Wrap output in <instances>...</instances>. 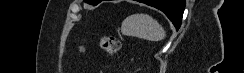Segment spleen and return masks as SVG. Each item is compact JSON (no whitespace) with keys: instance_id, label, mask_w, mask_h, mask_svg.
I'll list each match as a JSON object with an SVG mask.
<instances>
[{"instance_id":"spleen-1","label":"spleen","mask_w":244,"mask_h":73,"mask_svg":"<svg viewBox=\"0 0 244 73\" xmlns=\"http://www.w3.org/2000/svg\"><path fill=\"white\" fill-rule=\"evenodd\" d=\"M121 32L125 36L137 37L148 41H161L166 32L157 20L148 14H134L127 17L121 26Z\"/></svg>"}]
</instances>
